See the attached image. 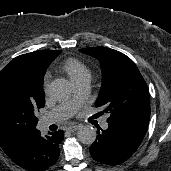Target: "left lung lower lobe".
<instances>
[{
  "label": "left lung lower lobe",
  "mask_w": 171,
  "mask_h": 171,
  "mask_svg": "<svg viewBox=\"0 0 171 171\" xmlns=\"http://www.w3.org/2000/svg\"><path fill=\"white\" fill-rule=\"evenodd\" d=\"M108 125L106 130L98 131L90 153L92 158L100 163L119 165L131 157L144 135L119 125Z\"/></svg>",
  "instance_id": "obj_1"
}]
</instances>
